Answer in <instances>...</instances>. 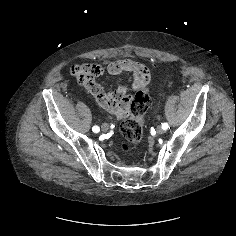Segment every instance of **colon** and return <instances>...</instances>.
<instances>
[{
    "mask_svg": "<svg viewBox=\"0 0 236 236\" xmlns=\"http://www.w3.org/2000/svg\"><path fill=\"white\" fill-rule=\"evenodd\" d=\"M149 87L150 85L137 91L131 103L130 112L121 124V133L124 138L121 149L125 154L131 153L132 144L142 139V120L150 105Z\"/></svg>",
    "mask_w": 236,
    "mask_h": 236,
    "instance_id": "colon-1",
    "label": "colon"
}]
</instances>
